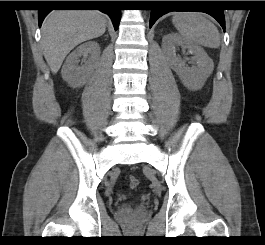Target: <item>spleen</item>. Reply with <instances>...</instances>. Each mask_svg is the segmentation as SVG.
I'll return each instance as SVG.
<instances>
[{"instance_id": "spleen-1", "label": "spleen", "mask_w": 265, "mask_h": 245, "mask_svg": "<svg viewBox=\"0 0 265 245\" xmlns=\"http://www.w3.org/2000/svg\"><path fill=\"white\" fill-rule=\"evenodd\" d=\"M172 22L183 38L208 48L220 46L216 26L199 12H177Z\"/></svg>"}]
</instances>
